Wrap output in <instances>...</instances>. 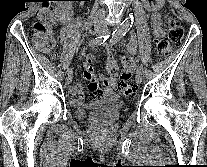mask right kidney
Masks as SVG:
<instances>
[{
  "label": "right kidney",
  "mask_w": 207,
  "mask_h": 167,
  "mask_svg": "<svg viewBox=\"0 0 207 167\" xmlns=\"http://www.w3.org/2000/svg\"><path fill=\"white\" fill-rule=\"evenodd\" d=\"M66 3V1H59L57 2V6L55 7V16L60 20L65 18L66 15H68V11H66Z\"/></svg>",
  "instance_id": "obj_1"
}]
</instances>
